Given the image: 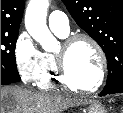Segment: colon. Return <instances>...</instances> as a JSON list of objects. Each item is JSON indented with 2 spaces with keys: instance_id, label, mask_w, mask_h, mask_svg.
<instances>
[{
  "instance_id": "5ec220e1",
  "label": "colon",
  "mask_w": 123,
  "mask_h": 113,
  "mask_svg": "<svg viewBox=\"0 0 123 113\" xmlns=\"http://www.w3.org/2000/svg\"><path fill=\"white\" fill-rule=\"evenodd\" d=\"M121 113H123V108L121 109Z\"/></svg>"
}]
</instances>
